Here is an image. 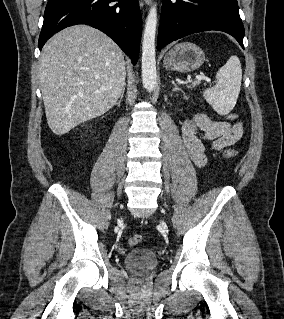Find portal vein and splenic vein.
I'll use <instances>...</instances> for the list:
<instances>
[{"label":"portal vein and splenic vein","mask_w":284,"mask_h":319,"mask_svg":"<svg viewBox=\"0 0 284 319\" xmlns=\"http://www.w3.org/2000/svg\"><path fill=\"white\" fill-rule=\"evenodd\" d=\"M201 80H205L207 82H211V80L208 79L207 77H205L203 75H197L196 78H195V81L196 82H200ZM189 82H191V80L187 81L186 84L189 83Z\"/></svg>","instance_id":"obj_1"}]
</instances>
